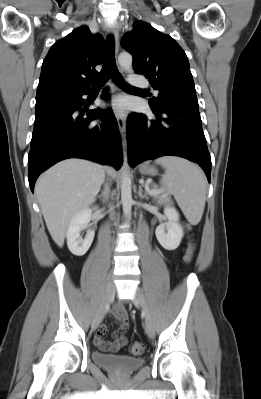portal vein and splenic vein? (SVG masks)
Wrapping results in <instances>:
<instances>
[{
	"instance_id": "18ae733b",
	"label": "portal vein and splenic vein",
	"mask_w": 261,
	"mask_h": 399,
	"mask_svg": "<svg viewBox=\"0 0 261 399\" xmlns=\"http://www.w3.org/2000/svg\"><path fill=\"white\" fill-rule=\"evenodd\" d=\"M151 181H147V184L150 183ZM145 190L147 191L148 194L150 195H156V194H160L162 191L161 190H150L148 185L145 186Z\"/></svg>"
}]
</instances>
